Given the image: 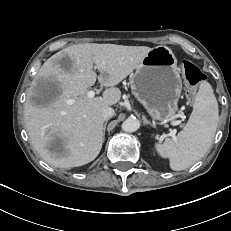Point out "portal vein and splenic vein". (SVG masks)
Returning a JSON list of instances; mask_svg holds the SVG:
<instances>
[{
    "label": "portal vein and splenic vein",
    "mask_w": 231,
    "mask_h": 231,
    "mask_svg": "<svg viewBox=\"0 0 231 231\" xmlns=\"http://www.w3.org/2000/svg\"><path fill=\"white\" fill-rule=\"evenodd\" d=\"M94 96H95V91L90 90V91L87 92V97H88L89 99L94 98Z\"/></svg>",
    "instance_id": "portal-vein-and-splenic-vein-1"
}]
</instances>
